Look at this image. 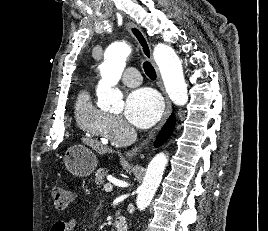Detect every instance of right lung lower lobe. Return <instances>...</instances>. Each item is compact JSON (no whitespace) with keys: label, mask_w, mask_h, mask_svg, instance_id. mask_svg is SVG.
Instances as JSON below:
<instances>
[{"label":"right lung lower lobe","mask_w":268,"mask_h":231,"mask_svg":"<svg viewBox=\"0 0 268 231\" xmlns=\"http://www.w3.org/2000/svg\"><path fill=\"white\" fill-rule=\"evenodd\" d=\"M175 126V116L172 114L166 124L164 125L163 129L160 131L157 141L155 143L156 146L161 145L164 143L172 134L173 129Z\"/></svg>","instance_id":"obj_1"}]
</instances>
